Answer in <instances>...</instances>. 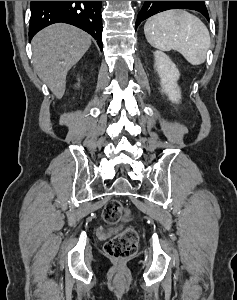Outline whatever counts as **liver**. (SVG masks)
Segmentation results:
<instances>
[{
    "mask_svg": "<svg viewBox=\"0 0 237 300\" xmlns=\"http://www.w3.org/2000/svg\"><path fill=\"white\" fill-rule=\"evenodd\" d=\"M31 45L32 63L39 79L56 99H62L68 71L91 45L89 35L71 25L56 23L37 33Z\"/></svg>",
    "mask_w": 237,
    "mask_h": 300,
    "instance_id": "obj_1",
    "label": "liver"
}]
</instances>
